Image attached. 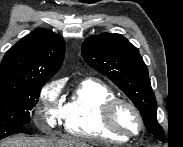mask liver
Instances as JSON below:
<instances>
[{
    "label": "liver",
    "instance_id": "liver-1",
    "mask_svg": "<svg viewBox=\"0 0 183 147\" xmlns=\"http://www.w3.org/2000/svg\"><path fill=\"white\" fill-rule=\"evenodd\" d=\"M0 147H91V145L73 137L47 139L14 136L2 141Z\"/></svg>",
    "mask_w": 183,
    "mask_h": 147
}]
</instances>
